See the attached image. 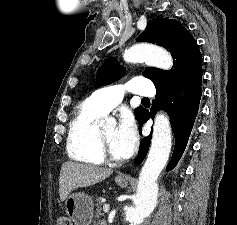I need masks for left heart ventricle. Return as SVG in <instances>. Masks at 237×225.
<instances>
[{
	"label": "left heart ventricle",
	"mask_w": 237,
	"mask_h": 225,
	"mask_svg": "<svg viewBox=\"0 0 237 225\" xmlns=\"http://www.w3.org/2000/svg\"><path fill=\"white\" fill-rule=\"evenodd\" d=\"M116 126L115 125H108L102 128L104 133L105 139L109 145L110 151L114 157L121 159L120 155L116 151L115 148V139H116Z\"/></svg>",
	"instance_id": "obj_1"
}]
</instances>
